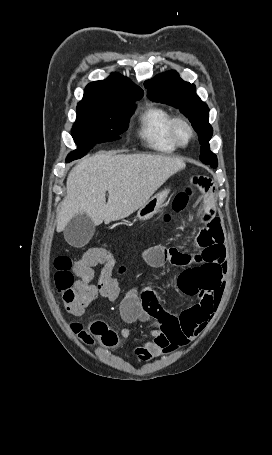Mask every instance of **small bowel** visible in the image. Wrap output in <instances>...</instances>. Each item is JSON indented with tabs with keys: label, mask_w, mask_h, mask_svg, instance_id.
I'll list each match as a JSON object with an SVG mask.
<instances>
[{
	"label": "small bowel",
	"mask_w": 272,
	"mask_h": 455,
	"mask_svg": "<svg viewBox=\"0 0 272 455\" xmlns=\"http://www.w3.org/2000/svg\"><path fill=\"white\" fill-rule=\"evenodd\" d=\"M186 186L203 195L210 191L211 179L205 174H193L187 179ZM202 222L204 226L196 238L200 247L197 255L164 245H156L143 252L145 261L152 267H162L167 263L183 267L178 277V288L195 299V303L179 315H174L161 307L151 289L145 290L141 296L129 293L124 297L120 314L127 325L121 329V335L129 337L132 331L130 325L136 321L146 322L153 329L152 339L134 349L140 361H148L189 344L206 327L220 303L227 271L223 228L221 221L210 211L202 214Z\"/></svg>",
	"instance_id": "small-bowel-1"
}]
</instances>
